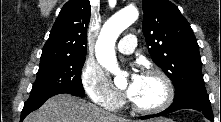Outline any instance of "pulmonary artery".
I'll use <instances>...</instances> for the list:
<instances>
[{"instance_id": "1", "label": "pulmonary artery", "mask_w": 221, "mask_h": 122, "mask_svg": "<svg viewBox=\"0 0 221 122\" xmlns=\"http://www.w3.org/2000/svg\"><path fill=\"white\" fill-rule=\"evenodd\" d=\"M137 45V38L134 34L124 36L118 43L117 49L124 54H130L134 51Z\"/></svg>"}]
</instances>
